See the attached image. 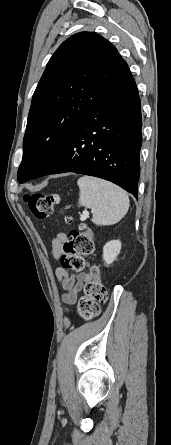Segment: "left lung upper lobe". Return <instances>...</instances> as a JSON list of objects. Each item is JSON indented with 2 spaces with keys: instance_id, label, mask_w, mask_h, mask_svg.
I'll use <instances>...</instances> for the list:
<instances>
[{
  "instance_id": "obj_1",
  "label": "left lung upper lobe",
  "mask_w": 171,
  "mask_h": 445,
  "mask_svg": "<svg viewBox=\"0 0 171 445\" xmlns=\"http://www.w3.org/2000/svg\"><path fill=\"white\" fill-rule=\"evenodd\" d=\"M131 76L117 49L100 35L80 32L65 40L50 58L34 92L18 181L24 183L34 176L77 120Z\"/></svg>"
}]
</instances>
